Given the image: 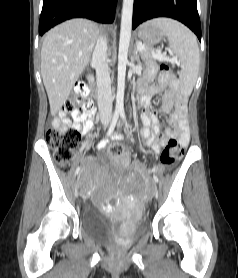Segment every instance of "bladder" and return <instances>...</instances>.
<instances>
[{
    "mask_svg": "<svg viewBox=\"0 0 238 278\" xmlns=\"http://www.w3.org/2000/svg\"><path fill=\"white\" fill-rule=\"evenodd\" d=\"M82 178V176H80ZM124 221L107 217L96 207L88 205L82 213L81 226L83 231L106 245L120 246L142 235L147 228V222L141 218L123 229Z\"/></svg>",
    "mask_w": 238,
    "mask_h": 278,
    "instance_id": "bladder-1",
    "label": "bladder"
}]
</instances>
